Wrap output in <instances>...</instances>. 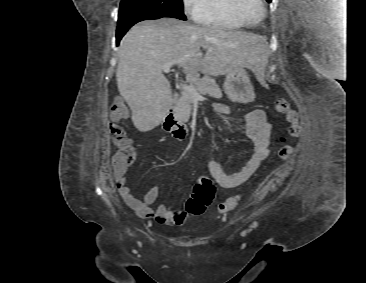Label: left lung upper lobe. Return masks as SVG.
Masks as SVG:
<instances>
[{
	"instance_id": "5c2ea615",
	"label": "left lung upper lobe",
	"mask_w": 366,
	"mask_h": 283,
	"mask_svg": "<svg viewBox=\"0 0 366 283\" xmlns=\"http://www.w3.org/2000/svg\"><path fill=\"white\" fill-rule=\"evenodd\" d=\"M266 1L270 3L272 0H266Z\"/></svg>"
}]
</instances>
